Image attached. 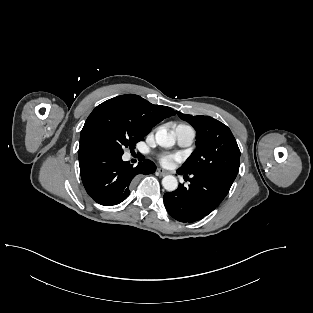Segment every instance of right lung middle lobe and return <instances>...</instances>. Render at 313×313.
Returning <instances> with one entry per match:
<instances>
[{
    "label": "right lung middle lobe",
    "mask_w": 313,
    "mask_h": 313,
    "mask_svg": "<svg viewBox=\"0 0 313 313\" xmlns=\"http://www.w3.org/2000/svg\"><path fill=\"white\" fill-rule=\"evenodd\" d=\"M147 134L128 115L109 109L101 116L94 130L96 150L123 155L125 148L133 150L135 144Z\"/></svg>",
    "instance_id": "1"
}]
</instances>
